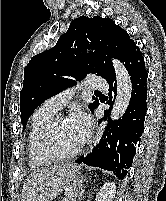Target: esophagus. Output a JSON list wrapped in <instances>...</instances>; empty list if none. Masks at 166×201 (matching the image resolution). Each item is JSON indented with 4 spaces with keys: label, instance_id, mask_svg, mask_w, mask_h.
Masks as SVG:
<instances>
[{
    "label": "esophagus",
    "instance_id": "obj_1",
    "mask_svg": "<svg viewBox=\"0 0 166 201\" xmlns=\"http://www.w3.org/2000/svg\"><path fill=\"white\" fill-rule=\"evenodd\" d=\"M101 136H102V129H98L97 132H96V137H95V140H94V144L96 145L97 143H99L100 139H101Z\"/></svg>",
    "mask_w": 166,
    "mask_h": 201
}]
</instances>
